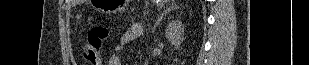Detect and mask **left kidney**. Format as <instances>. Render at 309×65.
<instances>
[{
	"label": "left kidney",
	"instance_id": "1",
	"mask_svg": "<svg viewBox=\"0 0 309 65\" xmlns=\"http://www.w3.org/2000/svg\"><path fill=\"white\" fill-rule=\"evenodd\" d=\"M184 25L179 20L171 21L166 29H165V36L168 39L171 45L177 47L180 46L181 41L184 39Z\"/></svg>",
	"mask_w": 309,
	"mask_h": 65
}]
</instances>
